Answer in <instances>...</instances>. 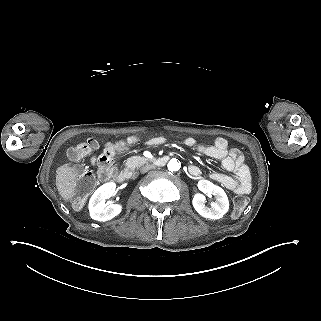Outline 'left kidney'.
<instances>
[{"label": "left kidney", "mask_w": 321, "mask_h": 321, "mask_svg": "<svg viewBox=\"0 0 321 321\" xmlns=\"http://www.w3.org/2000/svg\"><path fill=\"white\" fill-rule=\"evenodd\" d=\"M198 188L207 196L213 195L215 201L210 203V207H206L205 196L197 194L192 201L195 211L204 218L213 220L223 218L229 211V200L225 191L208 180H200Z\"/></svg>", "instance_id": "obj_1"}]
</instances>
